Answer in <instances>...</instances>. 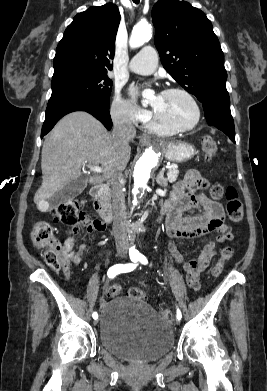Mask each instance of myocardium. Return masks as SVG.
I'll return each mask as SVG.
<instances>
[{"label":"myocardium","mask_w":267,"mask_h":391,"mask_svg":"<svg viewBox=\"0 0 267 391\" xmlns=\"http://www.w3.org/2000/svg\"><path fill=\"white\" fill-rule=\"evenodd\" d=\"M162 93H164V94L179 93V94H182L183 96H185L190 101V103L192 104V106L194 108L195 117H194L193 122L190 125L184 126V127H179V126H173V125L165 123L154 112V114H153L154 125L162 128L164 130L170 131L171 133L187 132V131L193 130L194 128H196L199 125V123L201 121V117H202V112H201V108H200V105H199L197 99L194 97V95L191 92H189L188 90L181 88V87H169V88H166Z\"/></svg>","instance_id":"1"}]
</instances>
